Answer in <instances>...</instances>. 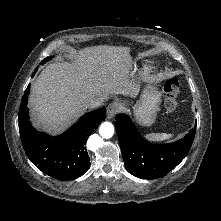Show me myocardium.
<instances>
[{
  "instance_id": "obj_1",
  "label": "myocardium",
  "mask_w": 221,
  "mask_h": 221,
  "mask_svg": "<svg viewBox=\"0 0 221 221\" xmlns=\"http://www.w3.org/2000/svg\"><path fill=\"white\" fill-rule=\"evenodd\" d=\"M144 72H145V74H148L150 72V68L147 67Z\"/></svg>"
}]
</instances>
